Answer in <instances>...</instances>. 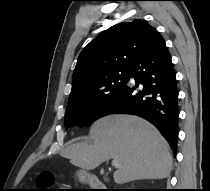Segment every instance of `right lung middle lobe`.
Returning a JSON list of instances; mask_svg holds the SVG:
<instances>
[{"label": "right lung middle lobe", "mask_w": 210, "mask_h": 191, "mask_svg": "<svg viewBox=\"0 0 210 191\" xmlns=\"http://www.w3.org/2000/svg\"><path fill=\"white\" fill-rule=\"evenodd\" d=\"M129 68L112 70L94 80L84 92L69 98L64 118L65 128L78 121L87 126L99 118L109 100L129 81Z\"/></svg>", "instance_id": "right-lung-middle-lobe-1"}]
</instances>
